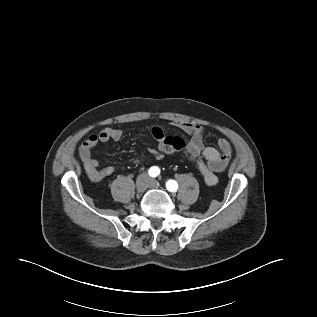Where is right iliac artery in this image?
<instances>
[{"label":"right iliac artery","mask_w":317,"mask_h":317,"mask_svg":"<svg viewBox=\"0 0 317 317\" xmlns=\"http://www.w3.org/2000/svg\"><path fill=\"white\" fill-rule=\"evenodd\" d=\"M148 173L151 177H156L157 175H159L160 170L158 167L154 166L149 169Z\"/></svg>","instance_id":"right-iliac-artery-1"}]
</instances>
